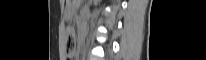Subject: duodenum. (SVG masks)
<instances>
[{"label": "duodenum", "instance_id": "duodenum-1", "mask_svg": "<svg viewBox=\"0 0 206 60\" xmlns=\"http://www.w3.org/2000/svg\"><path fill=\"white\" fill-rule=\"evenodd\" d=\"M85 28H86V27H85ZM85 28H84V27H81L80 30H79V34H80L81 37H83V36L85 35V33H86Z\"/></svg>", "mask_w": 206, "mask_h": 60}]
</instances>
